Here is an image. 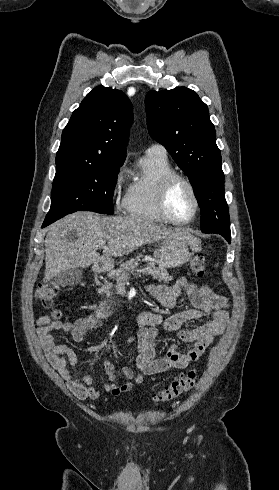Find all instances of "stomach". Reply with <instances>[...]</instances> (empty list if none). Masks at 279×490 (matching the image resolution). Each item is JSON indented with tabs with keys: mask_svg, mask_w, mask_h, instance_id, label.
<instances>
[{
	"mask_svg": "<svg viewBox=\"0 0 279 490\" xmlns=\"http://www.w3.org/2000/svg\"><path fill=\"white\" fill-rule=\"evenodd\" d=\"M154 254L165 268H181L193 256L190 252V246L184 238H171L167 242H162L159 250H155ZM108 264L112 266L111 260Z\"/></svg>",
	"mask_w": 279,
	"mask_h": 490,
	"instance_id": "1",
	"label": "stomach"
}]
</instances>
